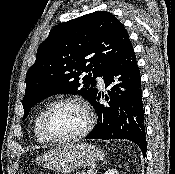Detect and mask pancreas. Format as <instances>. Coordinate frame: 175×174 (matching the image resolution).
<instances>
[{"mask_svg": "<svg viewBox=\"0 0 175 174\" xmlns=\"http://www.w3.org/2000/svg\"><path fill=\"white\" fill-rule=\"evenodd\" d=\"M76 174H87V173H85V172H77Z\"/></svg>", "mask_w": 175, "mask_h": 174, "instance_id": "obj_1", "label": "pancreas"}]
</instances>
